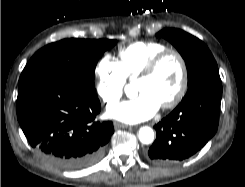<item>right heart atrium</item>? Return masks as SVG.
Segmentation results:
<instances>
[{
  "label": "right heart atrium",
  "instance_id": "d8ad5b80",
  "mask_svg": "<svg viewBox=\"0 0 245 187\" xmlns=\"http://www.w3.org/2000/svg\"><path fill=\"white\" fill-rule=\"evenodd\" d=\"M96 91L101 101L107 105L117 103L123 96L126 78L118 62L110 55L102 56L95 67Z\"/></svg>",
  "mask_w": 245,
  "mask_h": 187
}]
</instances>
